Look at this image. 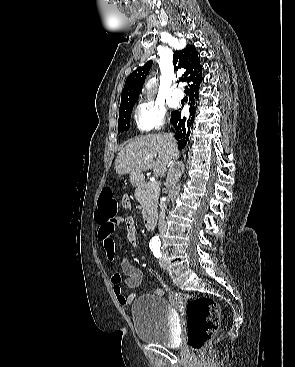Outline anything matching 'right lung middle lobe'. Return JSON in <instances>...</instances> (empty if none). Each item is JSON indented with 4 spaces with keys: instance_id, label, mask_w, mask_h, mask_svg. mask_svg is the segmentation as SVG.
Instances as JSON below:
<instances>
[{
    "instance_id": "obj_1",
    "label": "right lung middle lobe",
    "mask_w": 295,
    "mask_h": 367,
    "mask_svg": "<svg viewBox=\"0 0 295 367\" xmlns=\"http://www.w3.org/2000/svg\"><path fill=\"white\" fill-rule=\"evenodd\" d=\"M136 101L128 102L119 108L118 134L127 131L130 127V117Z\"/></svg>"
}]
</instances>
